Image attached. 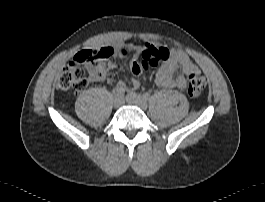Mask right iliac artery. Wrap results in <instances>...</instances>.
Returning a JSON list of instances; mask_svg holds the SVG:
<instances>
[{
  "instance_id": "1",
  "label": "right iliac artery",
  "mask_w": 265,
  "mask_h": 202,
  "mask_svg": "<svg viewBox=\"0 0 265 202\" xmlns=\"http://www.w3.org/2000/svg\"><path fill=\"white\" fill-rule=\"evenodd\" d=\"M123 96H124V89L123 88L116 87L113 89V91H112V97L113 98L123 97Z\"/></svg>"
}]
</instances>
